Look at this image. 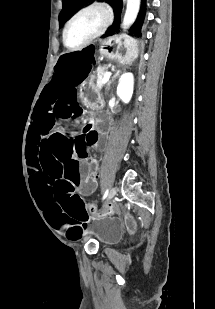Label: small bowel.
<instances>
[{"mask_svg": "<svg viewBox=\"0 0 215 309\" xmlns=\"http://www.w3.org/2000/svg\"><path fill=\"white\" fill-rule=\"evenodd\" d=\"M87 128H88L89 130H91L92 133H93V131H95V129H94L92 123H90V124L87 126ZM96 143H97V141H92V144H96ZM106 209H112V210H114V205H113L112 203H110V204H108V206L106 207Z\"/></svg>", "mask_w": 215, "mask_h": 309, "instance_id": "c3829d8e", "label": "small bowel"}]
</instances>
